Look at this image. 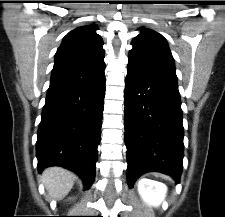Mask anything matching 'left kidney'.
Masks as SVG:
<instances>
[{
  "instance_id": "5707ae66",
  "label": "left kidney",
  "mask_w": 225,
  "mask_h": 217,
  "mask_svg": "<svg viewBox=\"0 0 225 217\" xmlns=\"http://www.w3.org/2000/svg\"><path fill=\"white\" fill-rule=\"evenodd\" d=\"M138 192L147 204L158 207L165 198L167 187L161 182L142 178L138 182Z\"/></svg>"
}]
</instances>
